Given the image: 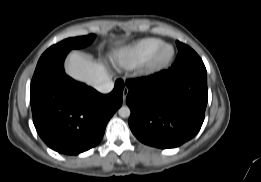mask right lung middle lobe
<instances>
[{
  "mask_svg": "<svg viewBox=\"0 0 261 182\" xmlns=\"http://www.w3.org/2000/svg\"><path fill=\"white\" fill-rule=\"evenodd\" d=\"M95 35L90 34L87 36H81V37H75V38H69L66 40H63L53 46H51L49 49H47L40 59H43L47 57L48 55L63 52V51H70L71 49H79L88 46L94 39Z\"/></svg>",
  "mask_w": 261,
  "mask_h": 182,
  "instance_id": "obj_1",
  "label": "right lung middle lobe"
}]
</instances>
